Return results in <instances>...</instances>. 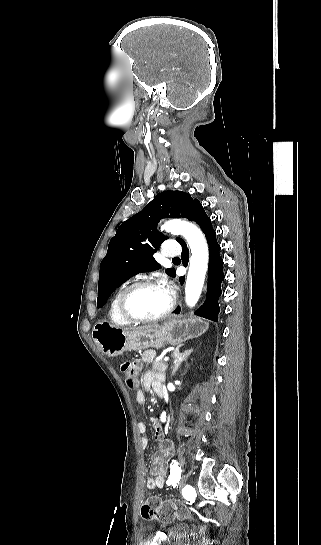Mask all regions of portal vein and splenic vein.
I'll use <instances>...</instances> for the list:
<instances>
[{
  "instance_id": "obj_1",
  "label": "portal vein and splenic vein",
  "mask_w": 321,
  "mask_h": 545,
  "mask_svg": "<svg viewBox=\"0 0 321 545\" xmlns=\"http://www.w3.org/2000/svg\"><path fill=\"white\" fill-rule=\"evenodd\" d=\"M165 362H169V357H166Z\"/></svg>"
}]
</instances>
